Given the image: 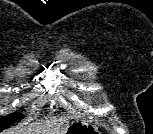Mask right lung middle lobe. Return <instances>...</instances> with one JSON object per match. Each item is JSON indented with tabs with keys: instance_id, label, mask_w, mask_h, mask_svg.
<instances>
[{
	"instance_id": "dd1d6c3e",
	"label": "right lung middle lobe",
	"mask_w": 153,
	"mask_h": 134,
	"mask_svg": "<svg viewBox=\"0 0 153 134\" xmlns=\"http://www.w3.org/2000/svg\"><path fill=\"white\" fill-rule=\"evenodd\" d=\"M24 116L18 113L10 114L8 117H0V131L2 129L9 127L17 119H22Z\"/></svg>"
}]
</instances>
